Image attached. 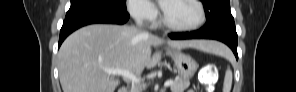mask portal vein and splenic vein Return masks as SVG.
<instances>
[{"mask_svg": "<svg viewBox=\"0 0 296 92\" xmlns=\"http://www.w3.org/2000/svg\"><path fill=\"white\" fill-rule=\"evenodd\" d=\"M107 73L113 74V75H121L130 81H132L135 84H140V80L131 72L125 69H104ZM173 84V80H168L165 82L164 86L168 87Z\"/></svg>", "mask_w": 296, "mask_h": 92, "instance_id": "obj_1", "label": "portal vein and splenic vein"}]
</instances>
